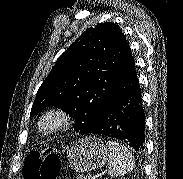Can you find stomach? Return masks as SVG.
I'll use <instances>...</instances> for the list:
<instances>
[{
    "instance_id": "stomach-1",
    "label": "stomach",
    "mask_w": 183,
    "mask_h": 179,
    "mask_svg": "<svg viewBox=\"0 0 183 179\" xmlns=\"http://www.w3.org/2000/svg\"><path fill=\"white\" fill-rule=\"evenodd\" d=\"M109 157L107 146L95 136H88L76 142L68 153V160L76 172L101 168Z\"/></svg>"
}]
</instances>
